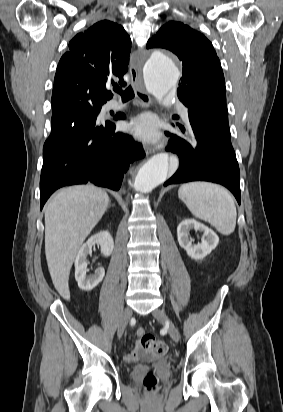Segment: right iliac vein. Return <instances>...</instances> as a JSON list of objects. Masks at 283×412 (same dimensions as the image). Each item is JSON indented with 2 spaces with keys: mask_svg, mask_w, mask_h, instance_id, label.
I'll return each instance as SVG.
<instances>
[{
  "mask_svg": "<svg viewBox=\"0 0 283 412\" xmlns=\"http://www.w3.org/2000/svg\"><path fill=\"white\" fill-rule=\"evenodd\" d=\"M131 316H132L131 308L126 307L123 311V314H122V317H121V320H120V323H119L118 329H117V335H118L119 338L122 337L128 323H129V320H130Z\"/></svg>",
  "mask_w": 283,
  "mask_h": 412,
  "instance_id": "63e3f726",
  "label": "right iliac vein"
}]
</instances>
